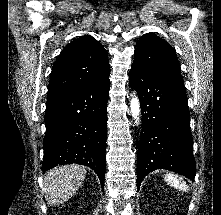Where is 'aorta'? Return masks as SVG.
Returning a JSON list of instances; mask_svg holds the SVG:
<instances>
[{"label":"aorta","mask_w":221,"mask_h":215,"mask_svg":"<svg viewBox=\"0 0 221 215\" xmlns=\"http://www.w3.org/2000/svg\"><path fill=\"white\" fill-rule=\"evenodd\" d=\"M130 109L131 115L135 119V123L138 124L140 119V103L136 94L132 95V99L130 101Z\"/></svg>","instance_id":"obj_1"}]
</instances>
